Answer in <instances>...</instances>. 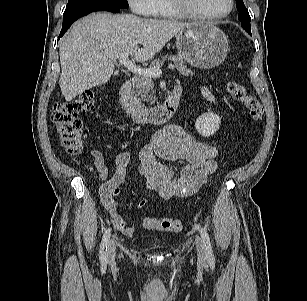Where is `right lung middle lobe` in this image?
<instances>
[{
  "label": "right lung middle lobe",
  "mask_w": 307,
  "mask_h": 301,
  "mask_svg": "<svg viewBox=\"0 0 307 301\" xmlns=\"http://www.w3.org/2000/svg\"><path fill=\"white\" fill-rule=\"evenodd\" d=\"M127 8L126 0H68L63 18L95 8Z\"/></svg>",
  "instance_id": "dd1d6c3e"
}]
</instances>
